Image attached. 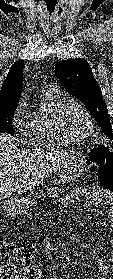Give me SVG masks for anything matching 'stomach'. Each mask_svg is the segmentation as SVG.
Masks as SVG:
<instances>
[{
    "instance_id": "stomach-1",
    "label": "stomach",
    "mask_w": 113,
    "mask_h": 279,
    "mask_svg": "<svg viewBox=\"0 0 113 279\" xmlns=\"http://www.w3.org/2000/svg\"><path fill=\"white\" fill-rule=\"evenodd\" d=\"M87 162V156L83 153L78 151L69 152V157L59 169L60 181L66 183L80 177ZM32 203L33 199L31 198H23L19 201L23 209L29 207Z\"/></svg>"
}]
</instances>
